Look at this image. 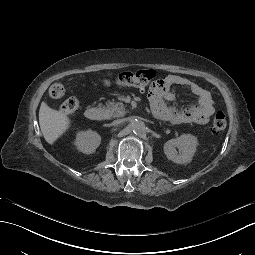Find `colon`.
<instances>
[{
  "instance_id": "colon-1",
  "label": "colon",
  "mask_w": 255,
  "mask_h": 255,
  "mask_svg": "<svg viewBox=\"0 0 255 255\" xmlns=\"http://www.w3.org/2000/svg\"><path fill=\"white\" fill-rule=\"evenodd\" d=\"M156 73L153 70H138L136 72L120 73L114 80H104L105 86L116 85L118 87H138L144 88L150 84L155 78ZM155 83V82H154ZM153 83V84H154ZM66 86L61 83H55L49 88V95L53 99H60L66 94ZM79 108V102L75 97L66 99L61 107V113L70 115L76 112ZM227 121L225 114L218 111L214 117L212 130L213 132H221L226 128Z\"/></svg>"
}]
</instances>
